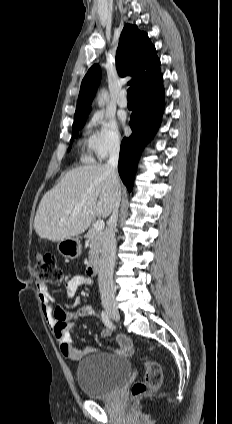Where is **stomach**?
Instances as JSON below:
<instances>
[{
    "label": "stomach",
    "instance_id": "obj_1",
    "mask_svg": "<svg viewBox=\"0 0 232 424\" xmlns=\"http://www.w3.org/2000/svg\"><path fill=\"white\" fill-rule=\"evenodd\" d=\"M57 249L65 258L75 259L79 257L82 251L80 237H71L59 241Z\"/></svg>",
    "mask_w": 232,
    "mask_h": 424
}]
</instances>
